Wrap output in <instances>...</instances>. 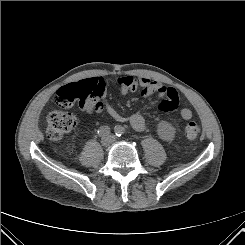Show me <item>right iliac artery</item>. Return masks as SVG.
Here are the masks:
<instances>
[{
	"mask_svg": "<svg viewBox=\"0 0 245 245\" xmlns=\"http://www.w3.org/2000/svg\"><path fill=\"white\" fill-rule=\"evenodd\" d=\"M97 133L100 137H106V136H109L111 131H110V128L108 126H101L98 129Z\"/></svg>",
	"mask_w": 245,
	"mask_h": 245,
	"instance_id": "right-iliac-artery-1",
	"label": "right iliac artery"
}]
</instances>
